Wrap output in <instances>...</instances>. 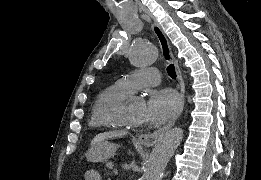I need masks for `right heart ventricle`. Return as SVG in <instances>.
I'll use <instances>...</instances> for the list:
<instances>
[{"label": "right heart ventricle", "instance_id": "obj_1", "mask_svg": "<svg viewBox=\"0 0 261 180\" xmlns=\"http://www.w3.org/2000/svg\"><path fill=\"white\" fill-rule=\"evenodd\" d=\"M128 94L118 84L109 86L99 93L88 123L90 133H96V131H118L115 125V113L120 107L125 106V99ZM117 137L119 136H114L113 138Z\"/></svg>", "mask_w": 261, "mask_h": 180}]
</instances>
